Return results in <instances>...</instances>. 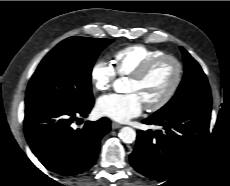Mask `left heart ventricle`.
<instances>
[{
	"mask_svg": "<svg viewBox=\"0 0 230 186\" xmlns=\"http://www.w3.org/2000/svg\"><path fill=\"white\" fill-rule=\"evenodd\" d=\"M175 77V66L165 61L159 64L143 81L129 80L126 91L139 96L143 104L149 105L160 100L170 88Z\"/></svg>",
	"mask_w": 230,
	"mask_h": 186,
	"instance_id": "obj_1",
	"label": "left heart ventricle"
}]
</instances>
